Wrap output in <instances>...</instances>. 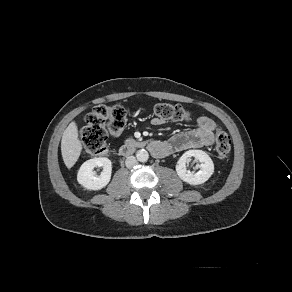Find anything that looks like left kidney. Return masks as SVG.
<instances>
[{"label":"left kidney","mask_w":292,"mask_h":292,"mask_svg":"<svg viewBox=\"0 0 292 292\" xmlns=\"http://www.w3.org/2000/svg\"><path fill=\"white\" fill-rule=\"evenodd\" d=\"M191 157H195L200 162V170L193 173L186 168V163ZM178 176L190 185H199L205 183L214 173V164L209 155L202 150L186 151L178 160L176 165Z\"/></svg>","instance_id":"5707ae66"}]
</instances>
